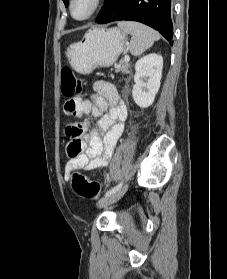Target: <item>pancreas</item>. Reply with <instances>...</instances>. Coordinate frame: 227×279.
Here are the masks:
<instances>
[{
	"label": "pancreas",
	"mask_w": 227,
	"mask_h": 279,
	"mask_svg": "<svg viewBox=\"0 0 227 279\" xmlns=\"http://www.w3.org/2000/svg\"><path fill=\"white\" fill-rule=\"evenodd\" d=\"M117 72H122L123 74H131V67L128 62L120 61L119 64L115 65Z\"/></svg>",
	"instance_id": "pancreas-1"
}]
</instances>
